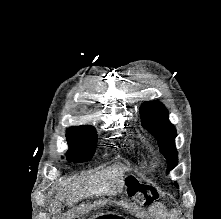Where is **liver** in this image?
Instances as JSON below:
<instances>
[{
    "label": "liver",
    "mask_w": 221,
    "mask_h": 219,
    "mask_svg": "<svg viewBox=\"0 0 221 219\" xmlns=\"http://www.w3.org/2000/svg\"><path fill=\"white\" fill-rule=\"evenodd\" d=\"M128 168L123 166L106 168L100 172L94 174H88L73 182L68 186L66 193H60L59 200L53 201L51 204L52 213H54L57 207L60 205V200L63 195H66L68 204L72 205L78 202L82 198L99 197L104 195H117L123 188L124 173Z\"/></svg>",
    "instance_id": "obj_1"
}]
</instances>
